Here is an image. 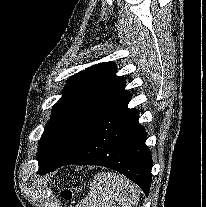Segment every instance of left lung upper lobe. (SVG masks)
<instances>
[{
  "mask_svg": "<svg viewBox=\"0 0 206 207\" xmlns=\"http://www.w3.org/2000/svg\"><path fill=\"white\" fill-rule=\"evenodd\" d=\"M116 69L115 63H100L67 80L39 143L41 174L75 153L95 123L126 93L125 81L116 76Z\"/></svg>",
  "mask_w": 206,
  "mask_h": 207,
  "instance_id": "obj_1",
  "label": "left lung upper lobe"
}]
</instances>
